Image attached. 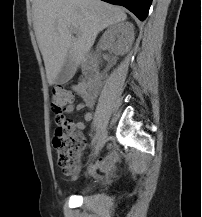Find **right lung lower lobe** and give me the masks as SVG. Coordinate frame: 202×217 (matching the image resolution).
Segmentation results:
<instances>
[{"label": "right lung lower lobe", "mask_w": 202, "mask_h": 217, "mask_svg": "<svg viewBox=\"0 0 202 217\" xmlns=\"http://www.w3.org/2000/svg\"><path fill=\"white\" fill-rule=\"evenodd\" d=\"M105 2L122 5L134 13L141 21L145 20L152 0H103Z\"/></svg>", "instance_id": "right-lung-lower-lobe-1"}]
</instances>
